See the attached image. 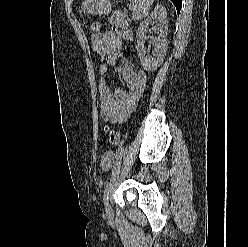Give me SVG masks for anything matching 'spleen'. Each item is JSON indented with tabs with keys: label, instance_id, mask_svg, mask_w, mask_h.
I'll use <instances>...</instances> for the list:
<instances>
[{
	"label": "spleen",
	"instance_id": "1",
	"mask_svg": "<svg viewBox=\"0 0 248 247\" xmlns=\"http://www.w3.org/2000/svg\"><path fill=\"white\" fill-rule=\"evenodd\" d=\"M134 4L133 7V19L141 20L145 18L150 11L151 5L154 0H130Z\"/></svg>",
	"mask_w": 248,
	"mask_h": 247
}]
</instances>
